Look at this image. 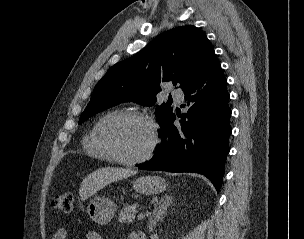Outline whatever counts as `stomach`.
Instances as JSON below:
<instances>
[{
  "label": "stomach",
  "mask_w": 304,
  "mask_h": 239,
  "mask_svg": "<svg viewBox=\"0 0 304 239\" xmlns=\"http://www.w3.org/2000/svg\"><path fill=\"white\" fill-rule=\"evenodd\" d=\"M135 190L144 195H153L162 192L165 181L159 176H143L133 183ZM117 209L116 204L109 198L95 196L87 206V213L90 218L98 224H107L113 218Z\"/></svg>",
  "instance_id": "0dacf381"
}]
</instances>
